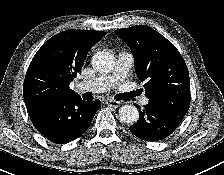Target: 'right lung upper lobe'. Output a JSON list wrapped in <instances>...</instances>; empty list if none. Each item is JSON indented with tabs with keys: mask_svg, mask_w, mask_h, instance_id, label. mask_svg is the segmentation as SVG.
I'll list each match as a JSON object with an SVG mask.
<instances>
[{
	"mask_svg": "<svg viewBox=\"0 0 224 175\" xmlns=\"http://www.w3.org/2000/svg\"><path fill=\"white\" fill-rule=\"evenodd\" d=\"M105 34L104 31L67 30L50 38L37 51L27 70L23 84L25 104L77 96L69 85L81 71L91 47Z\"/></svg>",
	"mask_w": 224,
	"mask_h": 175,
	"instance_id": "right-lung-upper-lobe-1",
	"label": "right lung upper lobe"
}]
</instances>
